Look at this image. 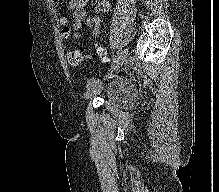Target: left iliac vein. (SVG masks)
Masks as SVG:
<instances>
[{"label": "left iliac vein", "mask_w": 219, "mask_h": 192, "mask_svg": "<svg viewBox=\"0 0 219 192\" xmlns=\"http://www.w3.org/2000/svg\"><path fill=\"white\" fill-rule=\"evenodd\" d=\"M128 49H123L118 57L113 61V64L111 66L110 72L108 73V76H111L114 72H116L120 66L123 65V63L128 58ZM103 89V86L99 80H90L87 84V92H86V98H92L95 95L99 94Z\"/></svg>", "instance_id": "left-iliac-vein-1"}]
</instances>
